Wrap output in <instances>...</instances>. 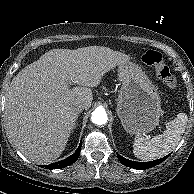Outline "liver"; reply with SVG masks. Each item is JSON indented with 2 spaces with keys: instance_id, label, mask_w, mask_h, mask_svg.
<instances>
[{
  "instance_id": "obj_1",
  "label": "liver",
  "mask_w": 194,
  "mask_h": 194,
  "mask_svg": "<svg viewBox=\"0 0 194 194\" xmlns=\"http://www.w3.org/2000/svg\"><path fill=\"white\" fill-rule=\"evenodd\" d=\"M129 57L108 47L53 49L24 67L6 93L4 121L13 145L29 160L49 164L76 126V104L89 109L91 88ZM71 84H77L70 88Z\"/></svg>"
}]
</instances>
